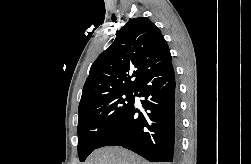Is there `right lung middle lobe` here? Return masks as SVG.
<instances>
[{
  "label": "right lung middle lobe",
  "mask_w": 251,
  "mask_h": 164,
  "mask_svg": "<svg viewBox=\"0 0 251 164\" xmlns=\"http://www.w3.org/2000/svg\"><path fill=\"white\" fill-rule=\"evenodd\" d=\"M135 93V95H134ZM136 90H123L100 96L79 108L78 155L80 162L97 149L99 143L134 105Z\"/></svg>",
  "instance_id": "dd1d6c3e"
}]
</instances>
